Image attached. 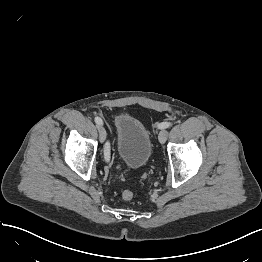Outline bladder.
Listing matches in <instances>:
<instances>
[{
	"mask_svg": "<svg viewBox=\"0 0 262 262\" xmlns=\"http://www.w3.org/2000/svg\"><path fill=\"white\" fill-rule=\"evenodd\" d=\"M116 152L119 160L130 168H142L152 154L151 137L143 123L131 115L115 120Z\"/></svg>",
	"mask_w": 262,
	"mask_h": 262,
	"instance_id": "31cf9c89",
	"label": "bladder"
}]
</instances>
